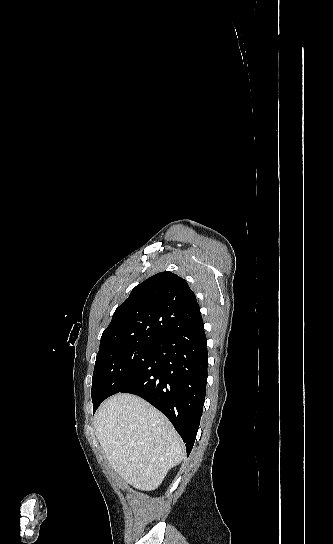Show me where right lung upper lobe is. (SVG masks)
Here are the masks:
<instances>
[{"instance_id":"right-lung-upper-lobe-1","label":"right lung upper lobe","mask_w":333,"mask_h":544,"mask_svg":"<svg viewBox=\"0 0 333 544\" xmlns=\"http://www.w3.org/2000/svg\"><path fill=\"white\" fill-rule=\"evenodd\" d=\"M202 320L188 283L165 271L136 286L104 330L99 352L138 342H156Z\"/></svg>"}]
</instances>
